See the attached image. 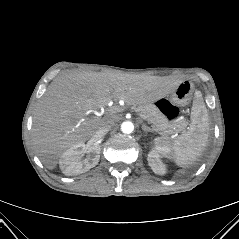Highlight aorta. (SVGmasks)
Instances as JSON below:
<instances>
[{"mask_svg": "<svg viewBox=\"0 0 239 239\" xmlns=\"http://www.w3.org/2000/svg\"><path fill=\"white\" fill-rule=\"evenodd\" d=\"M121 131L130 134L134 131V124L131 121H125L121 124Z\"/></svg>", "mask_w": 239, "mask_h": 239, "instance_id": "aorta-1", "label": "aorta"}]
</instances>
